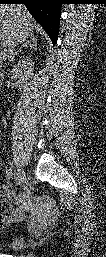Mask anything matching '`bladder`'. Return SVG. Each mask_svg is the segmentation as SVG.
I'll return each instance as SVG.
<instances>
[{
    "label": "bladder",
    "instance_id": "obj_1",
    "mask_svg": "<svg viewBox=\"0 0 106 257\" xmlns=\"http://www.w3.org/2000/svg\"><path fill=\"white\" fill-rule=\"evenodd\" d=\"M24 244V239L21 236H15L10 239V241L7 244V248L11 251H17L19 250Z\"/></svg>",
    "mask_w": 106,
    "mask_h": 257
}]
</instances>
